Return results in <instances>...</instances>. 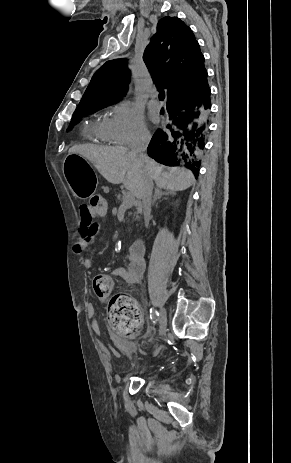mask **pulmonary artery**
Here are the masks:
<instances>
[{
	"instance_id": "e3ab8cb5",
	"label": "pulmonary artery",
	"mask_w": 291,
	"mask_h": 463,
	"mask_svg": "<svg viewBox=\"0 0 291 463\" xmlns=\"http://www.w3.org/2000/svg\"><path fill=\"white\" fill-rule=\"evenodd\" d=\"M148 106L153 109V110H160L161 109V103L157 99V93L154 92L151 94V99L148 103Z\"/></svg>"
}]
</instances>
